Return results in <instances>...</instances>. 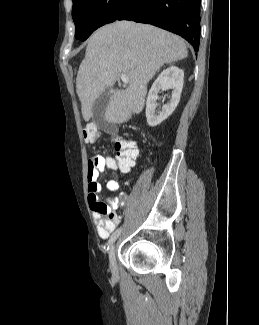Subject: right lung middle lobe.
I'll list each match as a JSON object with an SVG mask.
<instances>
[{
    "mask_svg": "<svg viewBox=\"0 0 259 325\" xmlns=\"http://www.w3.org/2000/svg\"><path fill=\"white\" fill-rule=\"evenodd\" d=\"M126 0H73L75 37L86 40L97 28L113 22Z\"/></svg>",
    "mask_w": 259,
    "mask_h": 325,
    "instance_id": "1",
    "label": "right lung middle lobe"
}]
</instances>
